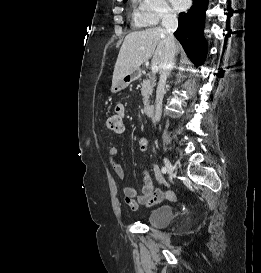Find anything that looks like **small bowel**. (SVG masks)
Listing matches in <instances>:
<instances>
[{
    "label": "small bowel",
    "mask_w": 261,
    "mask_h": 273,
    "mask_svg": "<svg viewBox=\"0 0 261 273\" xmlns=\"http://www.w3.org/2000/svg\"><path fill=\"white\" fill-rule=\"evenodd\" d=\"M114 115H119L122 119L125 117L126 108L125 105L119 103L115 106ZM124 125L122 122V129L116 132H123ZM140 153H145L148 148V140L145 137H141L138 142ZM118 154L117 147H111L109 149V162L112 171L114 174L121 180L124 179V170L121 163L117 160L116 156ZM155 176L157 179H161L160 173L156 170ZM124 201L129 206L132 211L138 210L140 205L145 207H152L158 203H160L166 192L155 189L151 180V177L147 170L143 172V186L140 193L137 192L136 189L126 186L123 188Z\"/></svg>",
    "instance_id": "small-bowel-1"
}]
</instances>
